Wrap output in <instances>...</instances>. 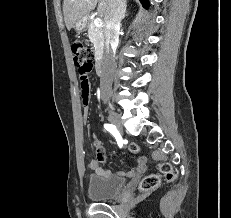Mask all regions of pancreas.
I'll use <instances>...</instances> for the list:
<instances>
[{
	"instance_id": "cf45deb5",
	"label": "pancreas",
	"mask_w": 231,
	"mask_h": 218,
	"mask_svg": "<svg viewBox=\"0 0 231 218\" xmlns=\"http://www.w3.org/2000/svg\"><path fill=\"white\" fill-rule=\"evenodd\" d=\"M88 36L94 44L96 53H100L104 44V29L103 27L96 26L93 20L88 21Z\"/></svg>"
}]
</instances>
